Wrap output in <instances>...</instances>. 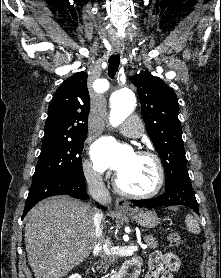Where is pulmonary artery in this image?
<instances>
[{
	"mask_svg": "<svg viewBox=\"0 0 221 278\" xmlns=\"http://www.w3.org/2000/svg\"><path fill=\"white\" fill-rule=\"evenodd\" d=\"M123 135L129 137H139L143 132V125L139 120L129 118L120 126Z\"/></svg>",
	"mask_w": 221,
	"mask_h": 278,
	"instance_id": "e3ab8cb5",
	"label": "pulmonary artery"
}]
</instances>
